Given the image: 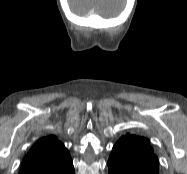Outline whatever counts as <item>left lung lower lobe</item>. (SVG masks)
<instances>
[{"label":"left lung lower lobe","instance_id":"obj_1","mask_svg":"<svg viewBox=\"0 0 187 174\" xmlns=\"http://www.w3.org/2000/svg\"><path fill=\"white\" fill-rule=\"evenodd\" d=\"M109 166L108 174H148L145 171L130 169L121 166Z\"/></svg>","mask_w":187,"mask_h":174}]
</instances>
